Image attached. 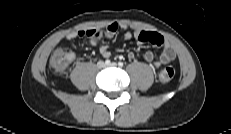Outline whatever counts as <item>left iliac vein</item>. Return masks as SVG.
Here are the masks:
<instances>
[{
  "mask_svg": "<svg viewBox=\"0 0 231 134\" xmlns=\"http://www.w3.org/2000/svg\"><path fill=\"white\" fill-rule=\"evenodd\" d=\"M109 66H111V67H116L117 64L113 62V63H111Z\"/></svg>",
  "mask_w": 231,
  "mask_h": 134,
  "instance_id": "obj_1",
  "label": "left iliac vein"
}]
</instances>
